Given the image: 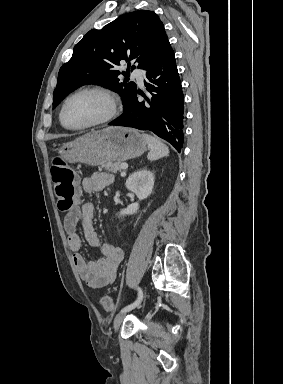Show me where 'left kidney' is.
Here are the masks:
<instances>
[{
    "mask_svg": "<svg viewBox=\"0 0 283 384\" xmlns=\"http://www.w3.org/2000/svg\"><path fill=\"white\" fill-rule=\"evenodd\" d=\"M125 186L127 190L136 194L139 200H145V198L150 196L153 190L154 176L152 172L143 168V170L131 174L128 180H126ZM137 210H139V204L138 202H135V204H129L128 208H125V210L118 212L116 216H119V218H121V216H132V214H136Z\"/></svg>",
    "mask_w": 283,
    "mask_h": 384,
    "instance_id": "obj_1",
    "label": "left kidney"
}]
</instances>
